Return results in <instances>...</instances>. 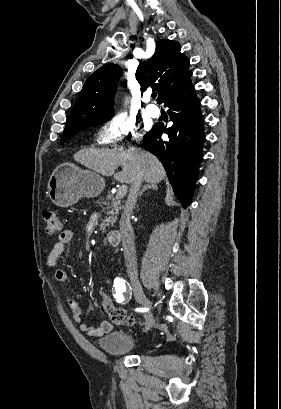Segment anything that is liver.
Returning <instances> with one entry per match:
<instances>
[{
  "mask_svg": "<svg viewBox=\"0 0 281 409\" xmlns=\"http://www.w3.org/2000/svg\"><path fill=\"white\" fill-rule=\"evenodd\" d=\"M74 160L81 162L84 166L100 172L103 176H112L118 182H133L134 174L137 172L135 164H140V172H143V180L146 182H160L165 176V170L157 156L129 146L126 150L116 148H83L74 154ZM117 166H122L121 172H115Z\"/></svg>",
  "mask_w": 281,
  "mask_h": 409,
  "instance_id": "liver-1",
  "label": "liver"
}]
</instances>
